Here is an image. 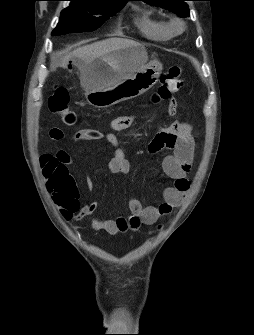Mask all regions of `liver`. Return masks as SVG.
<instances>
[{
	"label": "liver",
	"instance_id": "liver-1",
	"mask_svg": "<svg viewBox=\"0 0 254 335\" xmlns=\"http://www.w3.org/2000/svg\"><path fill=\"white\" fill-rule=\"evenodd\" d=\"M139 43L124 38H109L85 45L66 53L61 58V67H66L70 59H76L81 76V85L84 87L85 73L89 70L90 65L100 57H108L111 53L131 46H138ZM126 75L120 74L115 81H121Z\"/></svg>",
	"mask_w": 254,
	"mask_h": 335
}]
</instances>
